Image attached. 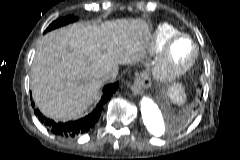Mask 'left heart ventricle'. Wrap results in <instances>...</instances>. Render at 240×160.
I'll list each match as a JSON object with an SVG mask.
<instances>
[{"label":"left heart ventricle","mask_w":240,"mask_h":160,"mask_svg":"<svg viewBox=\"0 0 240 160\" xmlns=\"http://www.w3.org/2000/svg\"><path fill=\"white\" fill-rule=\"evenodd\" d=\"M191 52V44L185 39L177 41L172 51L173 57L177 62L185 61L190 56Z\"/></svg>","instance_id":"b2bd125f"}]
</instances>
